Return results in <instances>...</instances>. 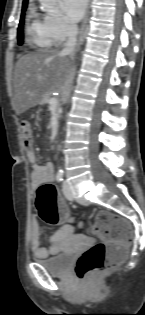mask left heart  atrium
<instances>
[{
  "instance_id": "1",
  "label": "left heart atrium",
  "mask_w": 145,
  "mask_h": 315,
  "mask_svg": "<svg viewBox=\"0 0 145 315\" xmlns=\"http://www.w3.org/2000/svg\"><path fill=\"white\" fill-rule=\"evenodd\" d=\"M61 4L69 21L78 22L85 12L87 0H62Z\"/></svg>"
}]
</instances>
